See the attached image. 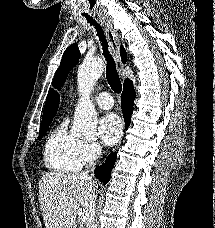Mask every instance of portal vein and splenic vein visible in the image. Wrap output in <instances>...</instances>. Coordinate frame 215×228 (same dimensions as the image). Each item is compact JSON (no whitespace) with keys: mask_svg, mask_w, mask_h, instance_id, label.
<instances>
[{"mask_svg":"<svg viewBox=\"0 0 215 228\" xmlns=\"http://www.w3.org/2000/svg\"><path fill=\"white\" fill-rule=\"evenodd\" d=\"M80 214H81L82 222H86V220H89V218H90L89 210H82V212H80Z\"/></svg>","mask_w":215,"mask_h":228,"instance_id":"portal-vein-and-splenic-vein-1","label":"portal vein and splenic vein"}]
</instances>
